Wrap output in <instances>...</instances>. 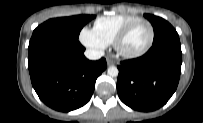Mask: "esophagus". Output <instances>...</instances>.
Returning <instances> with one entry per match:
<instances>
[{
	"label": "esophagus",
	"instance_id": "obj_1",
	"mask_svg": "<svg viewBox=\"0 0 203 123\" xmlns=\"http://www.w3.org/2000/svg\"><path fill=\"white\" fill-rule=\"evenodd\" d=\"M107 65H108V66L114 65V61H112V60H110V59H107Z\"/></svg>",
	"mask_w": 203,
	"mask_h": 123
}]
</instances>
